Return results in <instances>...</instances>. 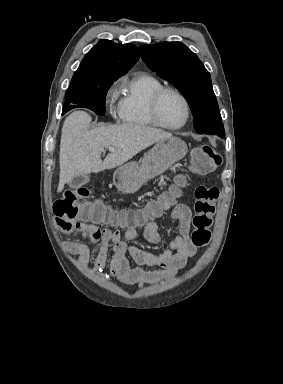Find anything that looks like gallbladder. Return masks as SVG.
I'll return each mask as SVG.
<instances>
[{
  "label": "gallbladder",
  "mask_w": 283,
  "mask_h": 384,
  "mask_svg": "<svg viewBox=\"0 0 283 384\" xmlns=\"http://www.w3.org/2000/svg\"><path fill=\"white\" fill-rule=\"evenodd\" d=\"M89 182L88 176H77V178H73L71 182H69V188H73L74 186H84V184H87Z\"/></svg>",
  "instance_id": "1"
}]
</instances>
